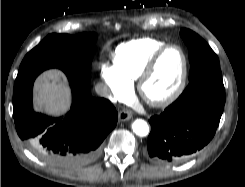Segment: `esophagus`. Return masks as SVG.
Returning <instances> with one entry per match:
<instances>
[{
    "label": "esophagus",
    "instance_id": "34e87169",
    "mask_svg": "<svg viewBox=\"0 0 245 187\" xmlns=\"http://www.w3.org/2000/svg\"><path fill=\"white\" fill-rule=\"evenodd\" d=\"M132 118V113L127 110H122L119 112V120L120 121H127Z\"/></svg>",
    "mask_w": 245,
    "mask_h": 187
}]
</instances>
